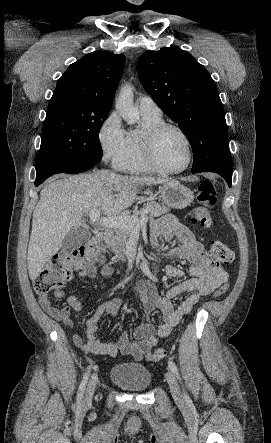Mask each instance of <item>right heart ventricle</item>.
Here are the masks:
<instances>
[{"instance_id":"e07e8e85","label":"right heart ventricle","mask_w":271,"mask_h":443,"mask_svg":"<svg viewBox=\"0 0 271 443\" xmlns=\"http://www.w3.org/2000/svg\"><path fill=\"white\" fill-rule=\"evenodd\" d=\"M163 122L161 115H142L140 128L127 133L126 154L120 168L129 173H147L155 171L146 161L143 149L144 134L151 126Z\"/></svg>"}]
</instances>
